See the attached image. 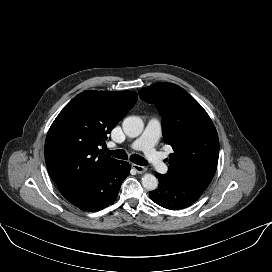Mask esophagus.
<instances>
[{"mask_svg":"<svg viewBox=\"0 0 272 272\" xmlns=\"http://www.w3.org/2000/svg\"><path fill=\"white\" fill-rule=\"evenodd\" d=\"M132 168L136 170L138 173H144L146 171V167L138 165V164H132Z\"/></svg>","mask_w":272,"mask_h":272,"instance_id":"obj_1","label":"esophagus"}]
</instances>
